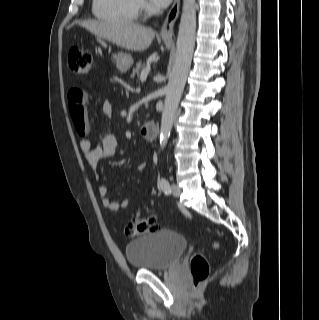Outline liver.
I'll use <instances>...</instances> for the list:
<instances>
[{"mask_svg":"<svg viewBox=\"0 0 319 320\" xmlns=\"http://www.w3.org/2000/svg\"><path fill=\"white\" fill-rule=\"evenodd\" d=\"M80 26L131 51L146 50L155 36L153 29L129 21L88 20L81 22Z\"/></svg>","mask_w":319,"mask_h":320,"instance_id":"liver-1","label":"liver"}]
</instances>
